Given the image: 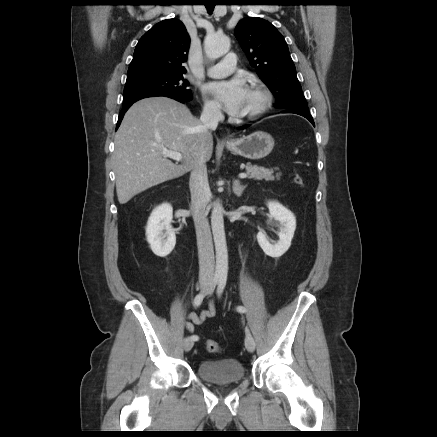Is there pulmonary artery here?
Returning <instances> with one entry per match:
<instances>
[{"instance_id":"e3ab8cb5","label":"pulmonary artery","mask_w":437,"mask_h":437,"mask_svg":"<svg viewBox=\"0 0 437 437\" xmlns=\"http://www.w3.org/2000/svg\"><path fill=\"white\" fill-rule=\"evenodd\" d=\"M236 68V55L228 53L221 62L210 66L207 75L213 78H221L230 75Z\"/></svg>"}]
</instances>
